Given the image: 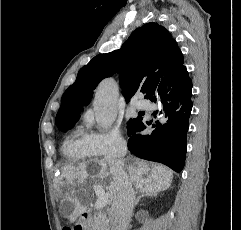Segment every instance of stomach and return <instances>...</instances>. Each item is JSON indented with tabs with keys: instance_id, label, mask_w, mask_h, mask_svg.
Masks as SVG:
<instances>
[{
	"instance_id": "1",
	"label": "stomach",
	"mask_w": 241,
	"mask_h": 230,
	"mask_svg": "<svg viewBox=\"0 0 241 230\" xmlns=\"http://www.w3.org/2000/svg\"><path fill=\"white\" fill-rule=\"evenodd\" d=\"M76 225L79 230H90L89 224L83 219H79Z\"/></svg>"
}]
</instances>
